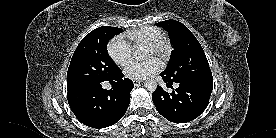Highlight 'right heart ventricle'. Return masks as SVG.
<instances>
[{
	"label": "right heart ventricle",
	"instance_id": "e07e8e85",
	"mask_svg": "<svg viewBox=\"0 0 276 138\" xmlns=\"http://www.w3.org/2000/svg\"><path fill=\"white\" fill-rule=\"evenodd\" d=\"M126 37L133 43H147L150 44L153 41L161 39L164 36L161 29L153 26L141 27L126 33Z\"/></svg>",
	"mask_w": 276,
	"mask_h": 138
}]
</instances>
